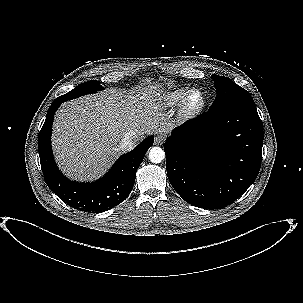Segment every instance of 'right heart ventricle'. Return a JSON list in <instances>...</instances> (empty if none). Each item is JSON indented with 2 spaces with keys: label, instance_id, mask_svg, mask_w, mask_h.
I'll return each instance as SVG.
<instances>
[{
  "label": "right heart ventricle",
  "instance_id": "e07e8e85",
  "mask_svg": "<svg viewBox=\"0 0 303 303\" xmlns=\"http://www.w3.org/2000/svg\"><path fill=\"white\" fill-rule=\"evenodd\" d=\"M189 91L187 87H179L165 92L155 100V105L160 108L175 107L183 101Z\"/></svg>",
  "mask_w": 303,
  "mask_h": 303
}]
</instances>
